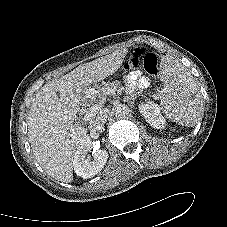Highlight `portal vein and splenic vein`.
Returning <instances> with one entry per match:
<instances>
[{"label":"portal vein and splenic vein","instance_id":"18ae733b","mask_svg":"<svg viewBox=\"0 0 227 227\" xmlns=\"http://www.w3.org/2000/svg\"><path fill=\"white\" fill-rule=\"evenodd\" d=\"M99 108H100V107H98V106L92 107L89 111L86 112V116H87V117H90V116L92 115V113L98 111Z\"/></svg>","mask_w":227,"mask_h":227}]
</instances>
